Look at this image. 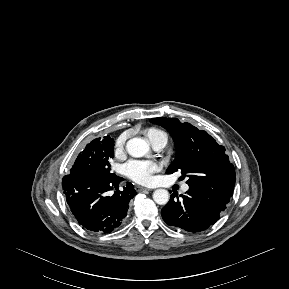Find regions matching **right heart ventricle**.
Instances as JSON below:
<instances>
[{
  "label": "right heart ventricle",
  "mask_w": 289,
  "mask_h": 289,
  "mask_svg": "<svg viewBox=\"0 0 289 289\" xmlns=\"http://www.w3.org/2000/svg\"><path fill=\"white\" fill-rule=\"evenodd\" d=\"M158 135H165L166 136V134L163 131L156 129V128H150L146 132V136L149 140L155 136H158Z\"/></svg>",
  "instance_id": "1"
}]
</instances>
